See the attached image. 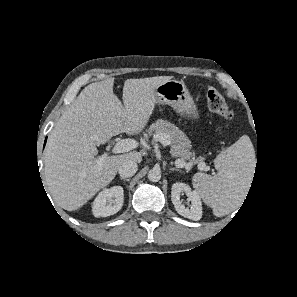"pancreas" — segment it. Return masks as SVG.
<instances>
[{
    "label": "pancreas",
    "instance_id": "pancreas-1",
    "mask_svg": "<svg viewBox=\"0 0 297 297\" xmlns=\"http://www.w3.org/2000/svg\"><path fill=\"white\" fill-rule=\"evenodd\" d=\"M147 132L148 134H145L146 138L148 135H153L154 137L161 134L167 135L171 145V154L174 157H181L184 160H188L194 155V152L190 151L191 141L186 134L167 120L158 119L149 127ZM201 161H203V158L200 157L193 163L197 164Z\"/></svg>",
    "mask_w": 297,
    "mask_h": 297
}]
</instances>
